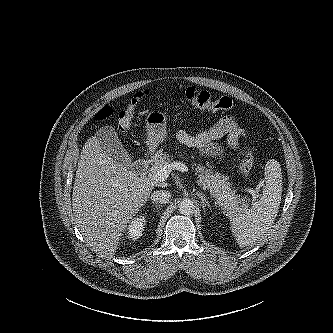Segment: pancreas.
<instances>
[{"instance_id":"cf45deb5","label":"pancreas","mask_w":333,"mask_h":333,"mask_svg":"<svg viewBox=\"0 0 333 333\" xmlns=\"http://www.w3.org/2000/svg\"><path fill=\"white\" fill-rule=\"evenodd\" d=\"M171 162V156L160 149L152 156V166L150 172L154 173L164 164ZM198 173V184L208 189L217 203L224 210V213L231 216L245 206L244 199L235 195L236 191L231 188L228 177L218 172L214 173L210 169L196 165Z\"/></svg>"}]
</instances>
